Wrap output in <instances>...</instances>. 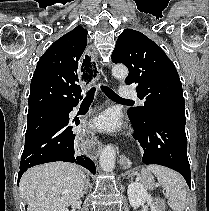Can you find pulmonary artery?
<instances>
[{"label":"pulmonary artery","mask_w":209,"mask_h":211,"mask_svg":"<svg viewBox=\"0 0 209 211\" xmlns=\"http://www.w3.org/2000/svg\"><path fill=\"white\" fill-rule=\"evenodd\" d=\"M119 96L123 99H137L136 91L130 86H122L119 90Z\"/></svg>","instance_id":"1"}]
</instances>
